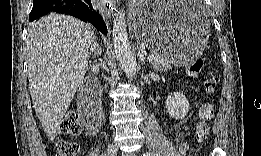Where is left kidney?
<instances>
[{
  "mask_svg": "<svg viewBox=\"0 0 261 156\" xmlns=\"http://www.w3.org/2000/svg\"><path fill=\"white\" fill-rule=\"evenodd\" d=\"M166 109L175 119H183L189 111V101L181 92L170 94L166 99Z\"/></svg>",
  "mask_w": 261,
  "mask_h": 156,
  "instance_id": "obj_1",
  "label": "left kidney"
}]
</instances>
